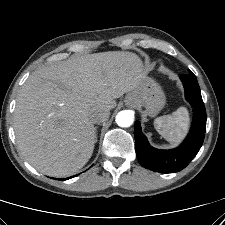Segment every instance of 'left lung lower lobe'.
Segmentation results:
<instances>
[{"label": "left lung lower lobe", "instance_id": "obj_1", "mask_svg": "<svg viewBox=\"0 0 225 225\" xmlns=\"http://www.w3.org/2000/svg\"><path fill=\"white\" fill-rule=\"evenodd\" d=\"M185 88V97L193 107L194 120L185 141L175 149L158 150L151 147L141 131L138 121L134 125L136 154L139 163L152 171L174 173L185 168L199 152L206 131V111L200 88L193 73L180 75Z\"/></svg>", "mask_w": 225, "mask_h": 225}]
</instances>
